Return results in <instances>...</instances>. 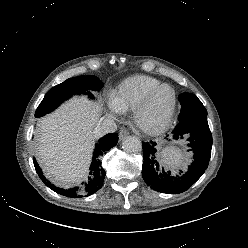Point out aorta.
I'll return each instance as SVG.
<instances>
[{
  "instance_id": "762f6f07",
  "label": "aorta",
  "mask_w": 248,
  "mask_h": 248,
  "mask_svg": "<svg viewBox=\"0 0 248 248\" xmlns=\"http://www.w3.org/2000/svg\"><path fill=\"white\" fill-rule=\"evenodd\" d=\"M122 148L127 153H139L142 151V143L137 137L129 136L123 140Z\"/></svg>"
}]
</instances>
